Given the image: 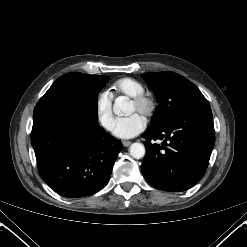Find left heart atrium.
Listing matches in <instances>:
<instances>
[{"mask_svg": "<svg viewBox=\"0 0 247 247\" xmlns=\"http://www.w3.org/2000/svg\"><path fill=\"white\" fill-rule=\"evenodd\" d=\"M145 127V119L134 113L128 117L117 119L113 127V134L118 138L129 139L141 133Z\"/></svg>", "mask_w": 247, "mask_h": 247, "instance_id": "obj_1", "label": "left heart atrium"}]
</instances>
